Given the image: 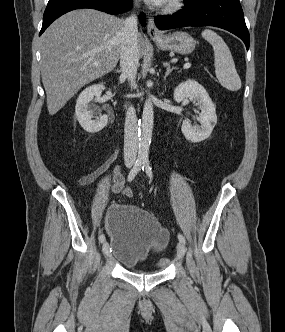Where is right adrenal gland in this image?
<instances>
[{"instance_id":"right-adrenal-gland-1","label":"right adrenal gland","mask_w":285,"mask_h":332,"mask_svg":"<svg viewBox=\"0 0 285 332\" xmlns=\"http://www.w3.org/2000/svg\"><path fill=\"white\" fill-rule=\"evenodd\" d=\"M115 72H116V73H120V70H116Z\"/></svg>"}]
</instances>
